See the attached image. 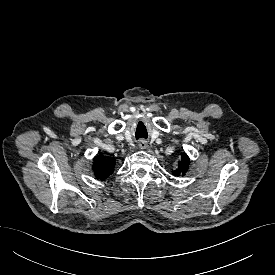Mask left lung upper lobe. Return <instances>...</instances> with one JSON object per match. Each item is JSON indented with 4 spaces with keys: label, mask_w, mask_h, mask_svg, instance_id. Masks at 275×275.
Returning <instances> with one entry per match:
<instances>
[{
    "label": "left lung upper lobe",
    "mask_w": 275,
    "mask_h": 275,
    "mask_svg": "<svg viewBox=\"0 0 275 275\" xmlns=\"http://www.w3.org/2000/svg\"><path fill=\"white\" fill-rule=\"evenodd\" d=\"M189 168V158L186 153L181 154V161L178 163V168L173 171V175L178 176L185 174Z\"/></svg>",
    "instance_id": "obj_1"
}]
</instances>
